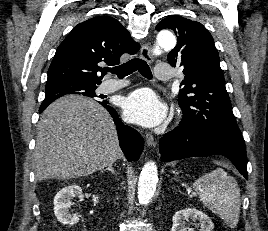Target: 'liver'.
<instances>
[{"mask_svg": "<svg viewBox=\"0 0 268 231\" xmlns=\"http://www.w3.org/2000/svg\"><path fill=\"white\" fill-rule=\"evenodd\" d=\"M121 157L115 124L98 102L68 95L42 113L33 152L36 180L88 176Z\"/></svg>", "mask_w": 268, "mask_h": 231, "instance_id": "1", "label": "liver"}]
</instances>
